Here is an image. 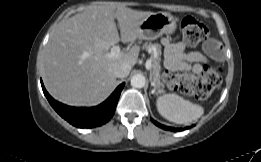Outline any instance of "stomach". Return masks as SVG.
<instances>
[{"instance_id": "stomach-1", "label": "stomach", "mask_w": 261, "mask_h": 162, "mask_svg": "<svg viewBox=\"0 0 261 162\" xmlns=\"http://www.w3.org/2000/svg\"><path fill=\"white\" fill-rule=\"evenodd\" d=\"M176 27V20L171 14L153 13L140 21L138 25L139 39L155 40L164 34L171 35L175 32Z\"/></svg>"}]
</instances>
